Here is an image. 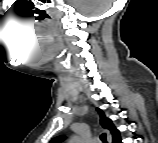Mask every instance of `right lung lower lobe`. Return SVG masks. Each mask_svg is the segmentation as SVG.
Returning a JSON list of instances; mask_svg holds the SVG:
<instances>
[{
  "mask_svg": "<svg viewBox=\"0 0 158 143\" xmlns=\"http://www.w3.org/2000/svg\"><path fill=\"white\" fill-rule=\"evenodd\" d=\"M121 142V140H119L118 142H116V143H120Z\"/></svg>",
  "mask_w": 158,
  "mask_h": 143,
  "instance_id": "obj_1",
  "label": "right lung lower lobe"
}]
</instances>
